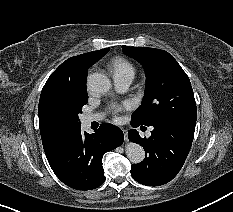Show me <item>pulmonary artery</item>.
I'll return each mask as SVG.
<instances>
[{
  "label": "pulmonary artery",
  "mask_w": 233,
  "mask_h": 212,
  "mask_svg": "<svg viewBox=\"0 0 233 212\" xmlns=\"http://www.w3.org/2000/svg\"><path fill=\"white\" fill-rule=\"evenodd\" d=\"M133 78L129 76H117L114 77L115 87L118 91H125L130 84L132 83ZM101 119L99 114H88L83 116V122L85 125L90 124L91 122L98 121Z\"/></svg>",
  "instance_id": "e3ab8cb5"
}]
</instances>
